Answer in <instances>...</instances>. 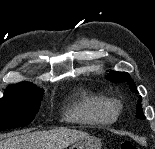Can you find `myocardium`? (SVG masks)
<instances>
[{
    "label": "myocardium",
    "mask_w": 155,
    "mask_h": 149,
    "mask_svg": "<svg viewBox=\"0 0 155 149\" xmlns=\"http://www.w3.org/2000/svg\"><path fill=\"white\" fill-rule=\"evenodd\" d=\"M106 108L117 117L122 109L121 101L116 98H108L106 99Z\"/></svg>",
    "instance_id": "1"
}]
</instances>
